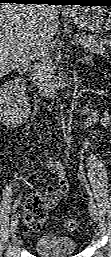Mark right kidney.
<instances>
[{"mask_svg":"<svg viewBox=\"0 0 111 257\" xmlns=\"http://www.w3.org/2000/svg\"><path fill=\"white\" fill-rule=\"evenodd\" d=\"M26 85L22 77L9 80L0 89L1 117L3 121L8 120L16 112L29 107L28 96L25 94ZM9 123V122H8Z\"/></svg>","mask_w":111,"mask_h":257,"instance_id":"ca27d5eb","label":"right kidney"}]
</instances>
